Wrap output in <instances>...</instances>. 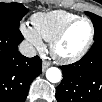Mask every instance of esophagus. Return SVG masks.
<instances>
[{
	"label": "esophagus",
	"mask_w": 102,
	"mask_h": 102,
	"mask_svg": "<svg viewBox=\"0 0 102 102\" xmlns=\"http://www.w3.org/2000/svg\"><path fill=\"white\" fill-rule=\"evenodd\" d=\"M50 65H51L50 62L43 61V63H42V71L44 72Z\"/></svg>",
	"instance_id": "obj_1"
}]
</instances>
